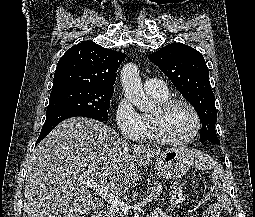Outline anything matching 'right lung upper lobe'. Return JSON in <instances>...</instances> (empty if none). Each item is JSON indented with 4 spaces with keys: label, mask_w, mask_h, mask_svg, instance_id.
Here are the masks:
<instances>
[{
    "label": "right lung upper lobe",
    "mask_w": 255,
    "mask_h": 217,
    "mask_svg": "<svg viewBox=\"0 0 255 217\" xmlns=\"http://www.w3.org/2000/svg\"><path fill=\"white\" fill-rule=\"evenodd\" d=\"M125 54L83 41L66 51L54 74L53 87L81 85L114 90L116 72Z\"/></svg>",
    "instance_id": "right-lung-upper-lobe-1"
}]
</instances>
